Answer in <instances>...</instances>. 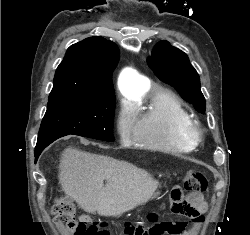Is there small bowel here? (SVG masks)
Returning a JSON list of instances; mask_svg holds the SVG:
<instances>
[{"label": "small bowel", "instance_id": "small-bowel-1", "mask_svg": "<svg viewBox=\"0 0 250 235\" xmlns=\"http://www.w3.org/2000/svg\"><path fill=\"white\" fill-rule=\"evenodd\" d=\"M181 203L183 206V210H174V213L186 219H189L191 225L189 228H187V222L181 220L160 222L159 224L161 229L168 233V235H192L193 228L202 222L201 217L207 210L206 204L200 200L197 202ZM136 230V227L130 228L128 235H136Z\"/></svg>", "mask_w": 250, "mask_h": 235}]
</instances>
